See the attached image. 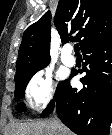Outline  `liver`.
Segmentation results:
<instances>
[{
	"mask_svg": "<svg viewBox=\"0 0 112 135\" xmlns=\"http://www.w3.org/2000/svg\"><path fill=\"white\" fill-rule=\"evenodd\" d=\"M8 133L9 135H73L63 124L60 128L54 127L51 120L12 124Z\"/></svg>",
	"mask_w": 112,
	"mask_h": 135,
	"instance_id": "6515ba94",
	"label": "liver"
}]
</instances>
